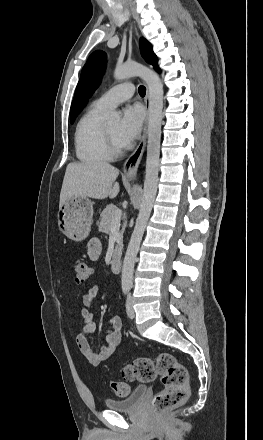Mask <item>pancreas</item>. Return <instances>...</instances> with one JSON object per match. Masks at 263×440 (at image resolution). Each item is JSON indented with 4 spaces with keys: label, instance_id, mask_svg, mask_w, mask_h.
<instances>
[{
    "label": "pancreas",
    "instance_id": "cf45deb5",
    "mask_svg": "<svg viewBox=\"0 0 263 440\" xmlns=\"http://www.w3.org/2000/svg\"><path fill=\"white\" fill-rule=\"evenodd\" d=\"M117 211H120L115 205L110 204L102 211L100 214V220L98 222L99 227L102 232L109 233L111 230V224L115 219V214ZM124 228L119 233V240L117 241V246L114 251V258L117 257L122 250V237H123Z\"/></svg>",
    "mask_w": 263,
    "mask_h": 440
}]
</instances>
